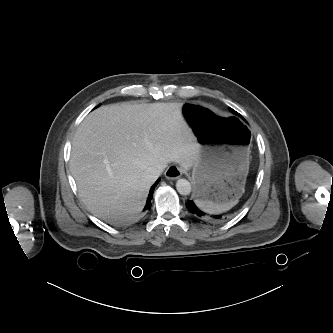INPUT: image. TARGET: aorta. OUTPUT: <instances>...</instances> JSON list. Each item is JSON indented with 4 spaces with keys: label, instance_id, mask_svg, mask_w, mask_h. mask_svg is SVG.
<instances>
[{
    "label": "aorta",
    "instance_id": "obj_1",
    "mask_svg": "<svg viewBox=\"0 0 333 333\" xmlns=\"http://www.w3.org/2000/svg\"><path fill=\"white\" fill-rule=\"evenodd\" d=\"M176 189L181 195H189L191 193V184L186 179H178Z\"/></svg>",
    "mask_w": 333,
    "mask_h": 333
}]
</instances>
